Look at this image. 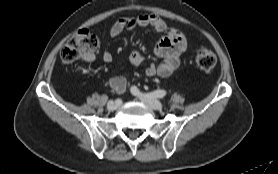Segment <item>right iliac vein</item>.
I'll list each match as a JSON object with an SVG mask.
<instances>
[{"label":"right iliac vein","mask_w":278,"mask_h":174,"mask_svg":"<svg viewBox=\"0 0 278 174\" xmlns=\"http://www.w3.org/2000/svg\"><path fill=\"white\" fill-rule=\"evenodd\" d=\"M119 104H117L116 102L114 101H109L108 104H107V109L110 110V111H114L118 108Z\"/></svg>","instance_id":"obj_1"}]
</instances>
